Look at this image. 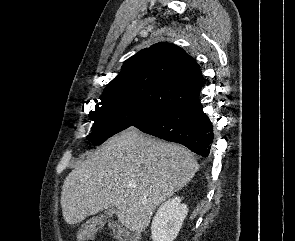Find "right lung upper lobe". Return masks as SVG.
I'll return each instance as SVG.
<instances>
[{
	"label": "right lung upper lobe",
	"instance_id": "obj_1",
	"mask_svg": "<svg viewBox=\"0 0 295 241\" xmlns=\"http://www.w3.org/2000/svg\"><path fill=\"white\" fill-rule=\"evenodd\" d=\"M202 86L196 61L177 45L160 42L126 60L102 97L166 111L198 98Z\"/></svg>",
	"mask_w": 295,
	"mask_h": 241
}]
</instances>
